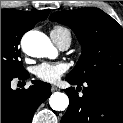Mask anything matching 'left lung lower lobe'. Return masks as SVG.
<instances>
[{"instance_id":"0a47b994","label":"left lung lower lobe","mask_w":123,"mask_h":123,"mask_svg":"<svg viewBox=\"0 0 123 123\" xmlns=\"http://www.w3.org/2000/svg\"><path fill=\"white\" fill-rule=\"evenodd\" d=\"M74 85H82V96L77 91L81 87L65 89L70 99L68 109L61 123H123V74H105L85 81H77L66 76ZM80 89V90H78Z\"/></svg>"}]
</instances>
